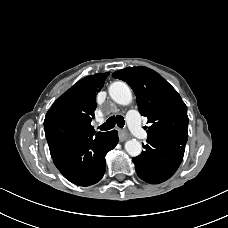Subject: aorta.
<instances>
[{
	"label": "aorta",
	"instance_id": "762f6f07",
	"mask_svg": "<svg viewBox=\"0 0 228 228\" xmlns=\"http://www.w3.org/2000/svg\"><path fill=\"white\" fill-rule=\"evenodd\" d=\"M110 97L120 105H129L132 101V93L129 86L122 81L114 82L109 87ZM125 150L132 157H137L142 152V145L136 139L125 143Z\"/></svg>",
	"mask_w": 228,
	"mask_h": 228
}]
</instances>
